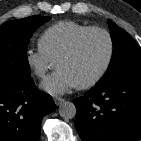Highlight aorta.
Listing matches in <instances>:
<instances>
[{"label": "aorta", "mask_w": 141, "mask_h": 141, "mask_svg": "<svg viewBox=\"0 0 141 141\" xmlns=\"http://www.w3.org/2000/svg\"><path fill=\"white\" fill-rule=\"evenodd\" d=\"M59 114L65 120L72 119L76 115V107L72 102H63L59 107Z\"/></svg>", "instance_id": "1"}]
</instances>
